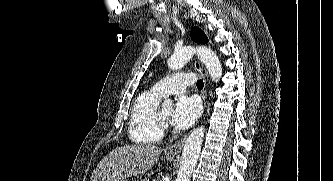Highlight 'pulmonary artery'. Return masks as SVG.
Returning <instances> with one entry per match:
<instances>
[{"label":"pulmonary artery","instance_id":"pulmonary-artery-1","mask_svg":"<svg viewBox=\"0 0 333 181\" xmlns=\"http://www.w3.org/2000/svg\"><path fill=\"white\" fill-rule=\"evenodd\" d=\"M195 79L192 73L175 74L154 84L151 91L162 98L169 94H180L187 86L192 85Z\"/></svg>","mask_w":333,"mask_h":181}]
</instances>
